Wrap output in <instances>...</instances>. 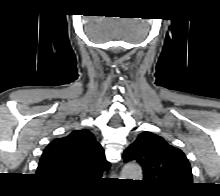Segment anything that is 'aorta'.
<instances>
[{
  "label": "aorta",
  "mask_w": 220,
  "mask_h": 196,
  "mask_svg": "<svg viewBox=\"0 0 220 196\" xmlns=\"http://www.w3.org/2000/svg\"><path fill=\"white\" fill-rule=\"evenodd\" d=\"M121 177V179L141 180L143 177L142 169L137 163H127L123 167Z\"/></svg>",
  "instance_id": "obj_1"
}]
</instances>
